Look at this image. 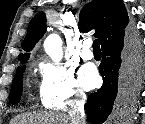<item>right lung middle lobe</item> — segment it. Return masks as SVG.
Here are the masks:
<instances>
[{
	"label": "right lung middle lobe",
	"instance_id": "obj_1",
	"mask_svg": "<svg viewBox=\"0 0 145 124\" xmlns=\"http://www.w3.org/2000/svg\"><path fill=\"white\" fill-rule=\"evenodd\" d=\"M23 72L24 67H19L16 70V75L12 82L9 101L11 104H18L23 90Z\"/></svg>",
	"mask_w": 145,
	"mask_h": 124
}]
</instances>
